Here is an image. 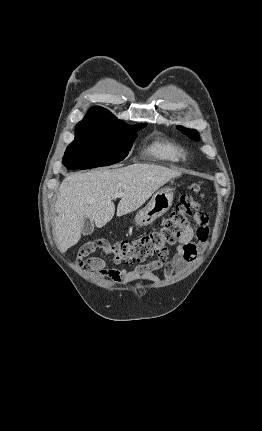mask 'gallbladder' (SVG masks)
Masks as SVG:
<instances>
[{
    "label": "gallbladder",
    "mask_w": 262,
    "mask_h": 431,
    "mask_svg": "<svg viewBox=\"0 0 262 431\" xmlns=\"http://www.w3.org/2000/svg\"><path fill=\"white\" fill-rule=\"evenodd\" d=\"M94 230V223L89 218H84L82 221L81 233L83 236L91 235Z\"/></svg>",
    "instance_id": "gallbladder-1"
}]
</instances>
